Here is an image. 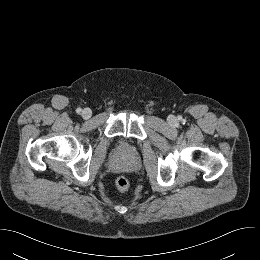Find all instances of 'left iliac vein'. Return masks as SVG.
I'll return each instance as SVG.
<instances>
[{
	"instance_id": "left-iliac-vein-1",
	"label": "left iliac vein",
	"mask_w": 260,
	"mask_h": 260,
	"mask_svg": "<svg viewBox=\"0 0 260 260\" xmlns=\"http://www.w3.org/2000/svg\"><path fill=\"white\" fill-rule=\"evenodd\" d=\"M175 121H176V120H175L174 117H171V118H170V122H171V123H175Z\"/></svg>"
}]
</instances>
